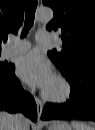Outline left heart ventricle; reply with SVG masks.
I'll list each match as a JSON object with an SVG mask.
<instances>
[{"instance_id":"left-heart-ventricle-1","label":"left heart ventricle","mask_w":95,"mask_h":130,"mask_svg":"<svg viewBox=\"0 0 95 130\" xmlns=\"http://www.w3.org/2000/svg\"><path fill=\"white\" fill-rule=\"evenodd\" d=\"M45 89L49 94L57 95L61 93L62 86L58 81L52 79Z\"/></svg>"}]
</instances>
